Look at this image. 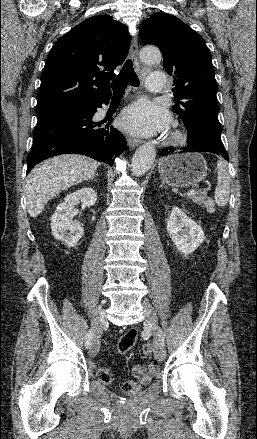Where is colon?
Listing matches in <instances>:
<instances>
[{"label":"colon","mask_w":257,"mask_h":439,"mask_svg":"<svg viewBox=\"0 0 257 439\" xmlns=\"http://www.w3.org/2000/svg\"><path fill=\"white\" fill-rule=\"evenodd\" d=\"M138 337V332L135 328H130L127 331L123 333V335L120 337L118 342V351L121 355H125L128 353L133 346L136 343ZM143 352L147 357L154 356V346L151 343H147L143 346ZM93 369L99 378L100 381H102L105 384H110L113 382L114 378L113 375L102 368L97 367L96 365H93ZM123 390L126 393H133L138 390V384L133 381L125 382L123 385Z\"/></svg>","instance_id":"colon-1"}]
</instances>
